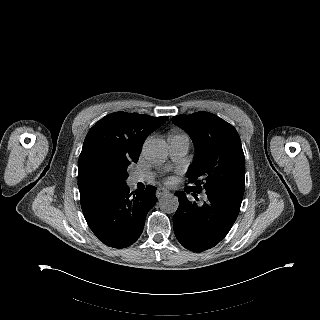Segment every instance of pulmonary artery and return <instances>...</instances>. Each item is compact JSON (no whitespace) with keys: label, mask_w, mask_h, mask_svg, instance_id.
Segmentation results:
<instances>
[{"label":"pulmonary artery","mask_w":320,"mask_h":320,"mask_svg":"<svg viewBox=\"0 0 320 320\" xmlns=\"http://www.w3.org/2000/svg\"><path fill=\"white\" fill-rule=\"evenodd\" d=\"M170 157L173 161H181L188 153L190 147V139L187 135H174L169 138ZM155 177V172L139 171L130 175V184L150 181ZM203 199L205 196L202 197Z\"/></svg>","instance_id":"e3ab8cb5"}]
</instances>
